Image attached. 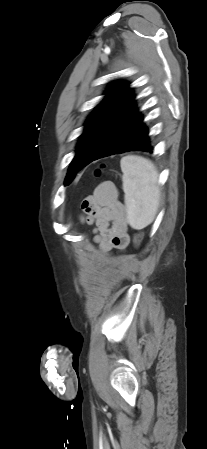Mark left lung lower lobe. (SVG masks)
I'll return each mask as SVG.
<instances>
[{
	"mask_svg": "<svg viewBox=\"0 0 207 449\" xmlns=\"http://www.w3.org/2000/svg\"><path fill=\"white\" fill-rule=\"evenodd\" d=\"M127 151L153 152L143 117L134 109L108 135L92 161Z\"/></svg>",
	"mask_w": 207,
	"mask_h": 449,
	"instance_id": "0a47b994",
	"label": "left lung lower lobe"
}]
</instances>
